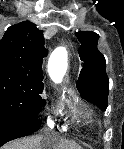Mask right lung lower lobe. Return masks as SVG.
I'll list each match as a JSON object with an SVG mask.
<instances>
[{"label":"right lung lower lobe","instance_id":"1","mask_svg":"<svg viewBox=\"0 0 124 149\" xmlns=\"http://www.w3.org/2000/svg\"><path fill=\"white\" fill-rule=\"evenodd\" d=\"M39 127V120L17 125H0V147L8 141L34 133Z\"/></svg>","mask_w":124,"mask_h":149}]
</instances>
